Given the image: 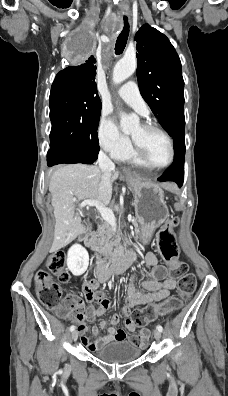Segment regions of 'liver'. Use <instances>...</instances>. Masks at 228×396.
I'll use <instances>...</instances> for the list:
<instances>
[{
    "mask_svg": "<svg viewBox=\"0 0 228 396\" xmlns=\"http://www.w3.org/2000/svg\"><path fill=\"white\" fill-rule=\"evenodd\" d=\"M102 172L97 165L71 164L60 167L51 176L49 191L55 216L54 239L51 251L55 252L71 243L86 230L76 209L81 200H97L108 204L110 195L100 194ZM119 174L111 172L110 180L115 181Z\"/></svg>",
    "mask_w": 228,
    "mask_h": 396,
    "instance_id": "liver-1",
    "label": "liver"
}]
</instances>
